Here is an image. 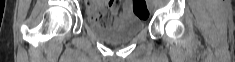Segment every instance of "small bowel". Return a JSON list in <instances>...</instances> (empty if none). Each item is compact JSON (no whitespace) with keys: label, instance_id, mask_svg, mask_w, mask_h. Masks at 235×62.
<instances>
[{"label":"small bowel","instance_id":"c3829d8e","mask_svg":"<svg viewBox=\"0 0 235 62\" xmlns=\"http://www.w3.org/2000/svg\"><path fill=\"white\" fill-rule=\"evenodd\" d=\"M98 2H95L93 4L90 5L89 9H88V17L92 20V21H96L97 22V7H98ZM107 7L109 8L111 15H112V20L113 17L117 14L119 7H120V1H109L106 3ZM124 10L126 13H129L131 10V4L130 2H126L124 5Z\"/></svg>","mask_w":235,"mask_h":62}]
</instances>
